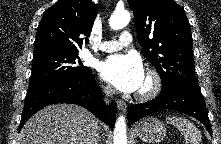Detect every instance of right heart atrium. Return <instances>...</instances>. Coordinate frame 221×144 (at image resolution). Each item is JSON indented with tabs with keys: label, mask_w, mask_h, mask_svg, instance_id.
I'll use <instances>...</instances> for the list:
<instances>
[{
	"label": "right heart atrium",
	"mask_w": 221,
	"mask_h": 144,
	"mask_svg": "<svg viewBox=\"0 0 221 144\" xmlns=\"http://www.w3.org/2000/svg\"><path fill=\"white\" fill-rule=\"evenodd\" d=\"M103 90H104V92H105L106 94L111 93V88H110L109 86H104V87H103Z\"/></svg>",
	"instance_id": "obj_1"
}]
</instances>
